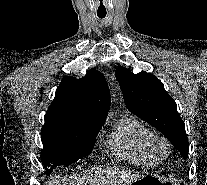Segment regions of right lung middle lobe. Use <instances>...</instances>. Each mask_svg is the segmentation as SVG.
Returning <instances> with one entry per match:
<instances>
[{
    "instance_id": "1",
    "label": "right lung middle lobe",
    "mask_w": 207,
    "mask_h": 185,
    "mask_svg": "<svg viewBox=\"0 0 207 185\" xmlns=\"http://www.w3.org/2000/svg\"><path fill=\"white\" fill-rule=\"evenodd\" d=\"M101 127H86L70 122L45 121L41 139L42 163L53 167L68 165L86 156L94 146Z\"/></svg>"
}]
</instances>
